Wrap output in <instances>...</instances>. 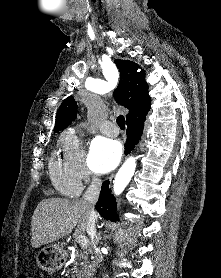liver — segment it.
<instances>
[{"label":"liver","mask_w":221,"mask_h":278,"mask_svg":"<svg viewBox=\"0 0 221 278\" xmlns=\"http://www.w3.org/2000/svg\"><path fill=\"white\" fill-rule=\"evenodd\" d=\"M89 218L88 203L82 199H43L31 220V245L38 248L58 241L76 227L75 237L85 234Z\"/></svg>","instance_id":"liver-1"}]
</instances>
